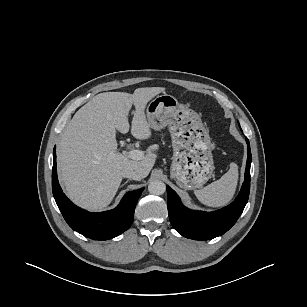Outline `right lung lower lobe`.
<instances>
[{
	"label": "right lung lower lobe",
	"instance_id": "1",
	"mask_svg": "<svg viewBox=\"0 0 307 307\" xmlns=\"http://www.w3.org/2000/svg\"><path fill=\"white\" fill-rule=\"evenodd\" d=\"M144 188L128 192L112 210L94 213L74 205L62 192L56 170V149L53 151L52 191L65 221L78 233L94 240H108L126 231L132 224L136 203Z\"/></svg>",
	"mask_w": 307,
	"mask_h": 307
}]
</instances>
